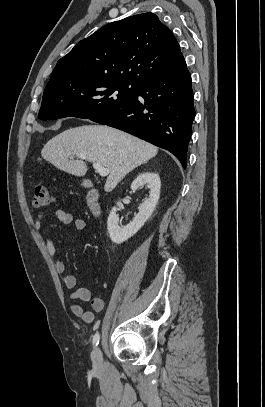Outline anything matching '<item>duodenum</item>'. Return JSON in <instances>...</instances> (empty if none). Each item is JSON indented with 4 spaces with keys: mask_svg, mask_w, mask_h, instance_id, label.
<instances>
[{
    "mask_svg": "<svg viewBox=\"0 0 265 407\" xmlns=\"http://www.w3.org/2000/svg\"><path fill=\"white\" fill-rule=\"evenodd\" d=\"M87 186L92 187V185L89 182L87 183ZM87 203H88V206H89L91 212L94 215L97 216L100 214L101 208H100V204H99V194H98L97 190H95L93 188L90 189L88 196H87Z\"/></svg>",
    "mask_w": 265,
    "mask_h": 407,
    "instance_id": "obj_1",
    "label": "duodenum"
}]
</instances>
